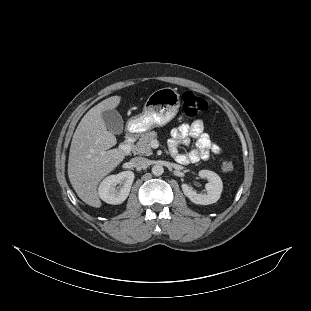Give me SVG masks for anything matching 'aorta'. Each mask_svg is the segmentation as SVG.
I'll use <instances>...</instances> for the list:
<instances>
[{
	"mask_svg": "<svg viewBox=\"0 0 311 311\" xmlns=\"http://www.w3.org/2000/svg\"><path fill=\"white\" fill-rule=\"evenodd\" d=\"M152 174L155 176H160L164 173V167L160 164H155L152 166Z\"/></svg>",
	"mask_w": 311,
	"mask_h": 311,
	"instance_id": "obj_1",
	"label": "aorta"
}]
</instances>
